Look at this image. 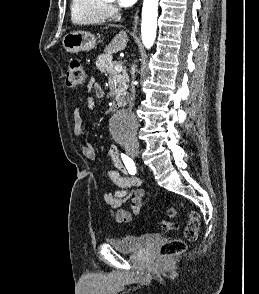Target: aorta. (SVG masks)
I'll return each instance as SVG.
<instances>
[{"mask_svg":"<svg viewBox=\"0 0 259 294\" xmlns=\"http://www.w3.org/2000/svg\"><path fill=\"white\" fill-rule=\"evenodd\" d=\"M159 0H144L142 8L141 37L144 46L149 49L156 38ZM137 126L136 117L130 112L120 111L113 121V132L117 136L133 135Z\"/></svg>","mask_w":259,"mask_h":294,"instance_id":"1","label":"aorta"}]
</instances>
